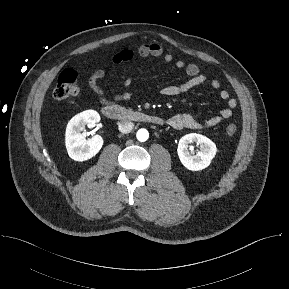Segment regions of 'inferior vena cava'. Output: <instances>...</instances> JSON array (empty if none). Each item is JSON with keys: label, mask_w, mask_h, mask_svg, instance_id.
<instances>
[{"label": "inferior vena cava", "mask_w": 289, "mask_h": 289, "mask_svg": "<svg viewBox=\"0 0 289 289\" xmlns=\"http://www.w3.org/2000/svg\"><path fill=\"white\" fill-rule=\"evenodd\" d=\"M134 124L130 121H122L119 123L118 128L121 133H129L132 131Z\"/></svg>", "instance_id": "602c4592"}]
</instances>
